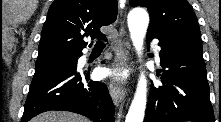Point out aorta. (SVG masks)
<instances>
[{"instance_id":"762f6f07","label":"aorta","mask_w":221,"mask_h":122,"mask_svg":"<svg viewBox=\"0 0 221 122\" xmlns=\"http://www.w3.org/2000/svg\"><path fill=\"white\" fill-rule=\"evenodd\" d=\"M149 24V15L145 9L137 7L128 14V27L133 46L142 55L143 42ZM147 97V80L142 73L139 77L134 98L125 118V122H143Z\"/></svg>"}]
</instances>
